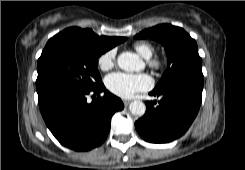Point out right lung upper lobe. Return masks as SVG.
Masks as SVG:
<instances>
[{
  "label": "right lung upper lobe",
  "instance_id": "1",
  "mask_svg": "<svg viewBox=\"0 0 245 170\" xmlns=\"http://www.w3.org/2000/svg\"><path fill=\"white\" fill-rule=\"evenodd\" d=\"M53 38L74 40L105 52L126 40L125 37L98 36L91 29L78 27L67 28Z\"/></svg>",
  "mask_w": 245,
  "mask_h": 170
}]
</instances>
